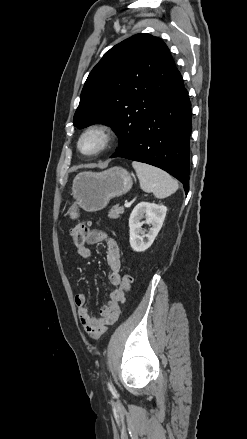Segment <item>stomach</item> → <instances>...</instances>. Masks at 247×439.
<instances>
[{
	"instance_id": "obj_1",
	"label": "stomach",
	"mask_w": 247,
	"mask_h": 439,
	"mask_svg": "<svg viewBox=\"0 0 247 439\" xmlns=\"http://www.w3.org/2000/svg\"><path fill=\"white\" fill-rule=\"evenodd\" d=\"M133 181L122 167H112L102 172H83L73 180L74 203L68 210L72 218L78 216V208L88 212L102 210L112 198L130 191Z\"/></svg>"
}]
</instances>
